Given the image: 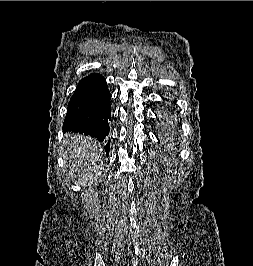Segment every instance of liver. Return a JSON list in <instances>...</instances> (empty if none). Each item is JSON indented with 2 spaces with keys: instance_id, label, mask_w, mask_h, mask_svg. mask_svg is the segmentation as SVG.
I'll use <instances>...</instances> for the list:
<instances>
[{
  "instance_id": "6515ba94",
  "label": "liver",
  "mask_w": 253,
  "mask_h": 266,
  "mask_svg": "<svg viewBox=\"0 0 253 266\" xmlns=\"http://www.w3.org/2000/svg\"><path fill=\"white\" fill-rule=\"evenodd\" d=\"M67 154L65 158L72 161L76 169L93 171L94 174H86L85 178L81 179L84 185L91 184L96 178V171L99 169L97 163L101 162L103 150L96 140L91 137L74 134L68 136L66 141Z\"/></svg>"
}]
</instances>
